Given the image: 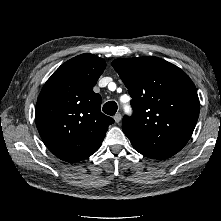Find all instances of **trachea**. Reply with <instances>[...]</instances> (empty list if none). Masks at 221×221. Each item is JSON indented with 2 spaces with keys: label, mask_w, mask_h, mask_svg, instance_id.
<instances>
[{
  "label": "trachea",
  "mask_w": 221,
  "mask_h": 221,
  "mask_svg": "<svg viewBox=\"0 0 221 221\" xmlns=\"http://www.w3.org/2000/svg\"><path fill=\"white\" fill-rule=\"evenodd\" d=\"M117 111V103L115 101H109L103 105V112L107 115H114Z\"/></svg>",
  "instance_id": "trachea-1"
}]
</instances>
